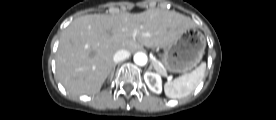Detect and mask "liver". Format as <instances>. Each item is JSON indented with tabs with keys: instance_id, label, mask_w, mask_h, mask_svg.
Returning a JSON list of instances; mask_svg holds the SVG:
<instances>
[{
	"instance_id": "obj_1",
	"label": "liver",
	"mask_w": 276,
	"mask_h": 120,
	"mask_svg": "<svg viewBox=\"0 0 276 120\" xmlns=\"http://www.w3.org/2000/svg\"><path fill=\"white\" fill-rule=\"evenodd\" d=\"M194 27L189 17L158 8L138 14L81 16L61 34L57 77L71 94L95 95L111 73L118 50L133 53L142 46L165 48Z\"/></svg>"
}]
</instances>
